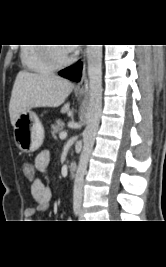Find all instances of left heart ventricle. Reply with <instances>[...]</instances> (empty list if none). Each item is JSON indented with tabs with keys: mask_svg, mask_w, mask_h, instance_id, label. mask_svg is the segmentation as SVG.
Here are the masks:
<instances>
[{
	"mask_svg": "<svg viewBox=\"0 0 166 267\" xmlns=\"http://www.w3.org/2000/svg\"><path fill=\"white\" fill-rule=\"evenodd\" d=\"M54 50L60 59H63L69 54V51L63 46H54Z\"/></svg>",
	"mask_w": 166,
	"mask_h": 267,
	"instance_id": "obj_1",
	"label": "left heart ventricle"
}]
</instances>
